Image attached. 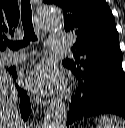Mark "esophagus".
<instances>
[{
  "mask_svg": "<svg viewBox=\"0 0 125 128\" xmlns=\"http://www.w3.org/2000/svg\"><path fill=\"white\" fill-rule=\"evenodd\" d=\"M36 103L40 106H46L49 103V101L45 98L37 97Z\"/></svg>",
  "mask_w": 125,
  "mask_h": 128,
  "instance_id": "obj_1",
  "label": "esophagus"
}]
</instances>
